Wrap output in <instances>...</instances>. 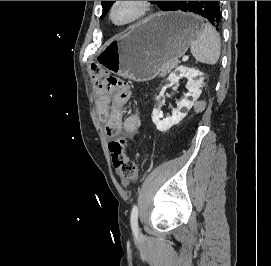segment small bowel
<instances>
[{
	"instance_id": "c3829d8e",
	"label": "small bowel",
	"mask_w": 271,
	"mask_h": 266,
	"mask_svg": "<svg viewBox=\"0 0 271 266\" xmlns=\"http://www.w3.org/2000/svg\"><path fill=\"white\" fill-rule=\"evenodd\" d=\"M128 98L97 90L96 109L99 118L105 123L107 136L114 137L121 131L133 136L138 132L141 126V116L137 112L127 114L125 105ZM123 183L127 184V180L124 179Z\"/></svg>"
}]
</instances>
